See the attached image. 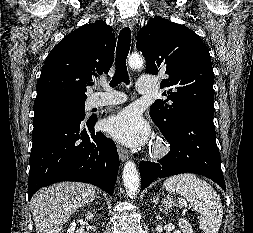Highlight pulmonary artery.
<instances>
[{
  "label": "pulmonary artery",
  "mask_w": 253,
  "mask_h": 233,
  "mask_svg": "<svg viewBox=\"0 0 253 233\" xmlns=\"http://www.w3.org/2000/svg\"><path fill=\"white\" fill-rule=\"evenodd\" d=\"M105 87L106 92L98 94L92 101V105L95 107L111 106L120 104L126 101V96L120 92H117L109 87ZM154 89V79L141 76L137 80V91L140 94L151 93Z\"/></svg>",
  "instance_id": "1"
}]
</instances>
